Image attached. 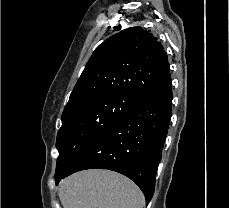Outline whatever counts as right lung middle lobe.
Masks as SVG:
<instances>
[{"label":"right lung middle lobe","instance_id":"dd1d6c3e","mask_svg":"<svg viewBox=\"0 0 229 208\" xmlns=\"http://www.w3.org/2000/svg\"><path fill=\"white\" fill-rule=\"evenodd\" d=\"M139 101L129 96L111 94L99 96L70 108L62 115V126L57 134L59 151L55 177L62 175L82 149L103 133Z\"/></svg>","mask_w":229,"mask_h":208}]
</instances>
